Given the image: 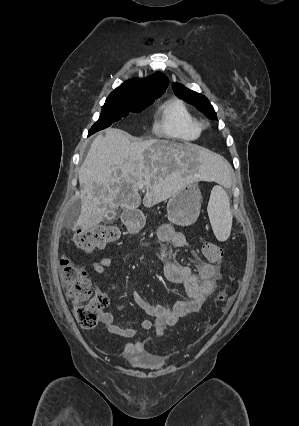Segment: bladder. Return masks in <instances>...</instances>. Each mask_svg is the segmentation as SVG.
<instances>
[{
	"instance_id": "obj_1",
	"label": "bladder",
	"mask_w": 299,
	"mask_h": 426,
	"mask_svg": "<svg viewBox=\"0 0 299 426\" xmlns=\"http://www.w3.org/2000/svg\"><path fill=\"white\" fill-rule=\"evenodd\" d=\"M160 364V360L156 359V360H152V361H146V362H142L141 366H150L152 368L157 367Z\"/></svg>"
}]
</instances>
